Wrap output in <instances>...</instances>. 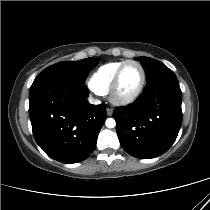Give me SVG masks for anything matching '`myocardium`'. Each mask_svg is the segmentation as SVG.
Here are the masks:
<instances>
[{
	"label": "myocardium",
	"mask_w": 210,
	"mask_h": 210,
	"mask_svg": "<svg viewBox=\"0 0 210 210\" xmlns=\"http://www.w3.org/2000/svg\"><path fill=\"white\" fill-rule=\"evenodd\" d=\"M128 64H136L139 67L140 72H141V80L138 87L133 93L127 96H119L117 91H118V87L120 83L121 74L125 66ZM145 83H146V72L143 65L137 60H126L118 67V69L116 70L114 74V77L112 79V82L110 84L109 91H108L109 99L115 105H120V106L128 105L132 103L133 101H135L140 96V94L142 93L144 89Z\"/></svg>",
	"instance_id": "myocardium-1"
}]
</instances>
